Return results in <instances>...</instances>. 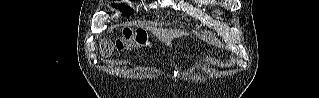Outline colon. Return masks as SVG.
I'll return each mask as SVG.
<instances>
[{
    "instance_id": "5ec220e1",
    "label": "colon",
    "mask_w": 319,
    "mask_h": 98,
    "mask_svg": "<svg viewBox=\"0 0 319 98\" xmlns=\"http://www.w3.org/2000/svg\"><path fill=\"white\" fill-rule=\"evenodd\" d=\"M118 49H138L147 51L151 47L147 33L142 29H125L121 37L116 40Z\"/></svg>"
}]
</instances>
